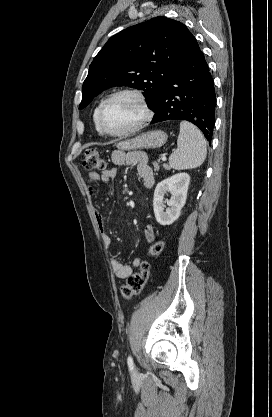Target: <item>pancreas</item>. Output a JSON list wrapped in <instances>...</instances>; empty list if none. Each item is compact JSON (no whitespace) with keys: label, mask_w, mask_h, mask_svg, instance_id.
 <instances>
[{"label":"pancreas","mask_w":272,"mask_h":417,"mask_svg":"<svg viewBox=\"0 0 272 417\" xmlns=\"http://www.w3.org/2000/svg\"><path fill=\"white\" fill-rule=\"evenodd\" d=\"M153 166H154V169H155V170H159V164H158L157 162H154V163H153ZM163 167H164L166 170H170L169 165H168V164H166V163H164V164H163Z\"/></svg>","instance_id":"cf45deb5"}]
</instances>
